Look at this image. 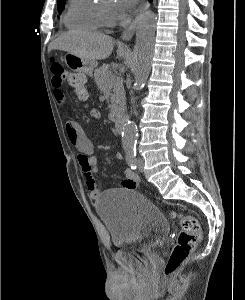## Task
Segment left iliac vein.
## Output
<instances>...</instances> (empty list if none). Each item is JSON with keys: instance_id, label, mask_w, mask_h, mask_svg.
<instances>
[{"instance_id": "4c4485c4", "label": "left iliac vein", "mask_w": 245, "mask_h": 300, "mask_svg": "<svg viewBox=\"0 0 245 300\" xmlns=\"http://www.w3.org/2000/svg\"><path fill=\"white\" fill-rule=\"evenodd\" d=\"M143 167H144V160H143V158H139L138 159V169L140 171H143Z\"/></svg>"}]
</instances>
